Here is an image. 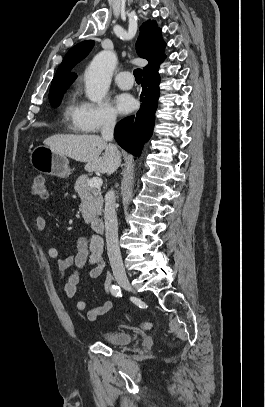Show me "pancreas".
Masks as SVG:
<instances>
[{"label":"pancreas","instance_id":"obj_1","mask_svg":"<svg viewBox=\"0 0 265 407\" xmlns=\"http://www.w3.org/2000/svg\"><path fill=\"white\" fill-rule=\"evenodd\" d=\"M87 175L80 176L75 183L74 189L81 199L80 211L85 221L90 222L96 216L101 215L103 197L98 187L88 185Z\"/></svg>","mask_w":265,"mask_h":407}]
</instances>
